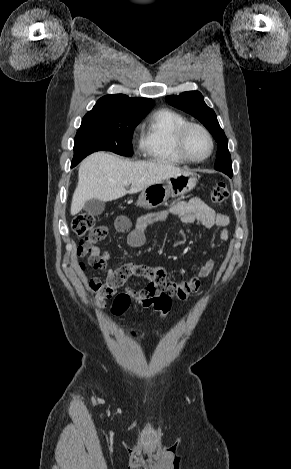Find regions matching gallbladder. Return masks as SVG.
<instances>
[{
  "label": "gallbladder",
  "mask_w": 291,
  "mask_h": 469,
  "mask_svg": "<svg viewBox=\"0 0 291 469\" xmlns=\"http://www.w3.org/2000/svg\"><path fill=\"white\" fill-rule=\"evenodd\" d=\"M105 208V204L103 201L98 200L96 198H92L85 202L83 210L90 215H100Z\"/></svg>",
  "instance_id": "obj_1"
}]
</instances>
